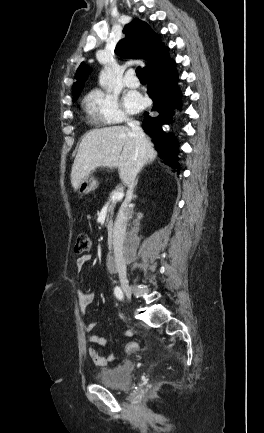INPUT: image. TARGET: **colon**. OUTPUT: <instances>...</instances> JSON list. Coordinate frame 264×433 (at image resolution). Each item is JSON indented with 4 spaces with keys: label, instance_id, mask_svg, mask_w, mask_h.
I'll return each mask as SVG.
<instances>
[{
    "label": "colon",
    "instance_id": "colon-1",
    "mask_svg": "<svg viewBox=\"0 0 264 433\" xmlns=\"http://www.w3.org/2000/svg\"><path fill=\"white\" fill-rule=\"evenodd\" d=\"M92 246L93 243L90 236L87 233L82 232L77 236V240L74 246V251L77 254H87L88 252L91 251ZM137 349H138V344L136 342H129L126 345V350L128 352H133L136 351Z\"/></svg>",
    "mask_w": 264,
    "mask_h": 433
}]
</instances>
